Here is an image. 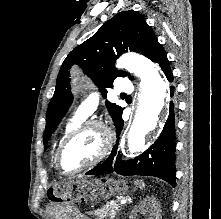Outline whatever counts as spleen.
I'll use <instances>...</instances> for the list:
<instances>
[{
  "label": "spleen",
  "instance_id": "obj_1",
  "mask_svg": "<svg viewBox=\"0 0 221 219\" xmlns=\"http://www.w3.org/2000/svg\"><path fill=\"white\" fill-rule=\"evenodd\" d=\"M145 185H144V183H142V187H144Z\"/></svg>",
  "mask_w": 221,
  "mask_h": 219
}]
</instances>
